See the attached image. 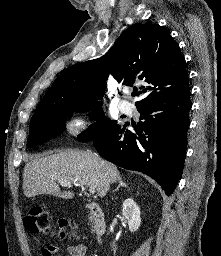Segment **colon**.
<instances>
[{"mask_svg":"<svg viewBox=\"0 0 221 256\" xmlns=\"http://www.w3.org/2000/svg\"><path fill=\"white\" fill-rule=\"evenodd\" d=\"M25 226L28 231L34 233H50L52 230V221L49 212L42 206L32 208L29 214L25 217ZM73 228V224H69L66 220L60 222L61 237L66 235L74 236L72 231H67V228Z\"/></svg>","mask_w":221,"mask_h":256,"instance_id":"colon-1","label":"colon"}]
</instances>
